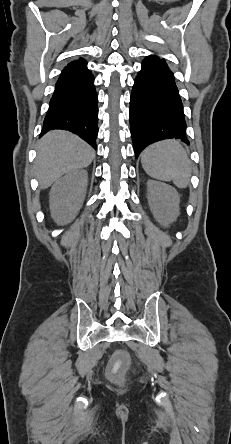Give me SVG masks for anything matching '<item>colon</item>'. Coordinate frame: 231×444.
<instances>
[{"label": "colon", "mask_w": 231, "mask_h": 444, "mask_svg": "<svg viewBox=\"0 0 231 444\" xmlns=\"http://www.w3.org/2000/svg\"><path fill=\"white\" fill-rule=\"evenodd\" d=\"M129 365V356L125 351L116 352L108 365V375L115 381H122L125 371Z\"/></svg>", "instance_id": "colon-1"}]
</instances>
